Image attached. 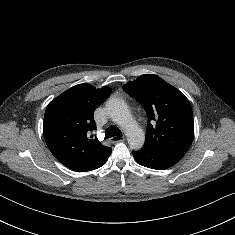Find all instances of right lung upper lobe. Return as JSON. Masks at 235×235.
Wrapping results in <instances>:
<instances>
[{"instance_id": "cb5924a9", "label": "right lung upper lobe", "mask_w": 235, "mask_h": 235, "mask_svg": "<svg viewBox=\"0 0 235 235\" xmlns=\"http://www.w3.org/2000/svg\"><path fill=\"white\" fill-rule=\"evenodd\" d=\"M110 93L109 87L96 89L83 83L71 87L48 104L43 124L46 144L55 158L70 169L92 170L112 151L97 138H90V132L96 129L94 110Z\"/></svg>"}]
</instances>
